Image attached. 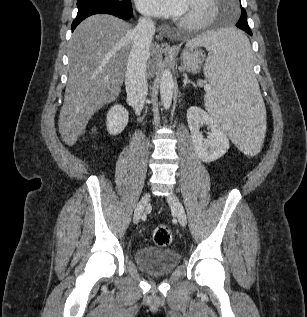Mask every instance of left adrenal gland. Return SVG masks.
I'll list each match as a JSON object with an SVG mask.
<instances>
[{
  "label": "left adrenal gland",
  "instance_id": "a2214340",
  "mask_svg": "<svg viewBox=\"0 0 307 317\" xmlns=\"http://www.w3.org/2000/svg\"><path fill=\"white\" fill-rule=\"evenodd\" d=\"M187 84H192L193 86H195V84L188 79L187 74H184L183 87H186Z\"/></svg>",
  "mask_w": 307,
  "mask_h": 317
}]
</instances>
